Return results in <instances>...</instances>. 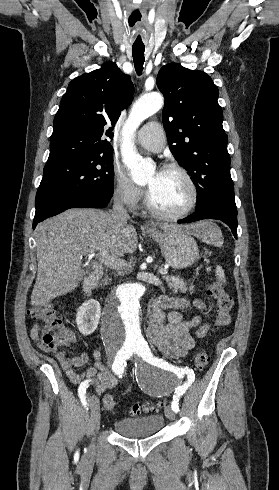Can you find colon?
Returning a JSON list of instances; mask_svg holds the SVG:
<instances>
[{
  "label": "colon",
  "mask_w": 279,
  "mask_h": 490,
  "mask_svg": "<svg viewBox=\"0 0 279 490\" xmlns=\"http://www.w3.org/2000/svg\"><path fill=\"white\" fill-rule=\"evenodd\" d=\"M207 295L216 301L215 327L221 328L229 325L233 310V301L224 290L223 285L210 279L206 283ZM30 317L39 321L40 347L52 350L57 347L67 348V342L73 337V330L66 329L59 321L58 314L50 304L35 305L29 309ZM209 361L206 352H198L194 357V365L198 370L204 369ZM104 409L114 413L116 403L111 395H106L103 401ZM155 406L149 402L134 403L130 407V414L138 416L155 411Z\"/></svg>",
  "instance_id": "1"
}]
</instances>
